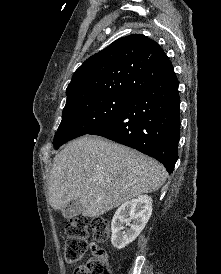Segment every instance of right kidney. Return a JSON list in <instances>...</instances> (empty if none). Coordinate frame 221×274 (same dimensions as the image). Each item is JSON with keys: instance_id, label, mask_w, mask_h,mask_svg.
Returning a JSON list of instances; mask_svg holds the SVG:
<instances>
[{"instance_id": "ca27d5eb", "label": "right kidney", "mask_w": 221, "mask_h": 274, "mask_svg": "<svg viewBox=\"0 0 221 274\" xmlns=\"http://www.w3.org/2000/svg\"><path fill=\"white\" fill-rule=\"evenodd\" d=\"M152 213V198L140 195L136 199L124 202L115 212L111 222V243L117 249H123L144 229ZM132 221V223H131ZM124 224L128 226L126 230Z\"/></svg>"}]
</instances>
